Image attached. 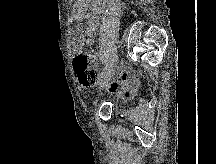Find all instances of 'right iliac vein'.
<instances>
[{"mask_svg":"<svg viewBox=\"0 0 216 164\" xmlns=\"http://www.w3.org/2000/svg\"><path fill=\"white\" fill-rule=\"evenodd\" d=\"M112 62L113 68L108 70V73H106V77H103L104 79L102 80L101 89H104L106 87V85L108 84L109 80L113 77L115 72L120 69L117 57H115Z\"/></svg>","mask_w":216,"mask_h":164,"instance_id":"63e3f726","label":"right iliac vein"}]
</instances>
